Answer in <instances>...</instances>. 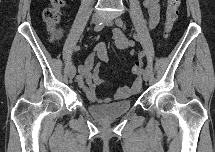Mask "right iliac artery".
Masks as SVG:
<instances>
[{
  "label": "right iliac artery",
  "mask_w": 215,
  "mask_h": 152,
  "mask_svg": "<svg viewBox=\"0 0 215 152\" xmlns=\"http://www.w3.org/2000/svg\"><path fill=\"white\" fill-rule=\"evenodd\" d=\"M104 26H105V24L103 22H101V23L97 24L94 27V31L95 32H99V31H101L104 28ZM77 50H79V47L75 48L74 51L76 52ZM69 65L72 66V59H70V64Z\"/></svg>",
  "instance_id": "1"
}]
</instances>
